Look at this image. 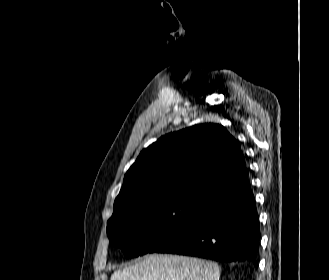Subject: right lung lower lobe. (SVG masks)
Wrapping results in <instances>:
<instances>
[{"label":"right lung lower lobe","mask_w":329,"mask_h":280,"mask_svg":"<svg viewBox=\"0 0 329 280\" xmlns=\"http://www.w3.org/2000/svg\"><path fill=\"white\" fill-rule=\"evenodd\" d=\"M260 229L246 167L216 182L185 221L149 253L217 261H251L257 267Z\"/></svg>","instance_id":"98d812e1"}]
</instances>
